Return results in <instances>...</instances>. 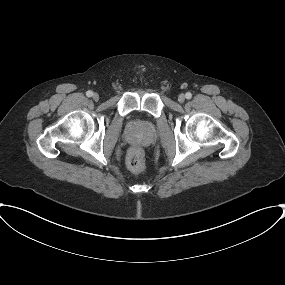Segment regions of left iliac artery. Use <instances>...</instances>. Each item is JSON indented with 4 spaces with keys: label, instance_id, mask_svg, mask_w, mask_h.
<instances>
[{
    "label": "left iliac artery",
    "instance_id": "1",
    "mask_svg": "<svg viewBox=\"0 0 285 285\" xmlns=\"http://www.w3.org/2000/svg\"><path fill=\"white\" fill-rule=\"evenodd\" d=\"M185 97H186L187 99H191V98H192V94H191L190 92H187V93L185 94Z\"/></svg>",
    "mask_w": 285,
    "mask_h": 285
}]
</instances>
